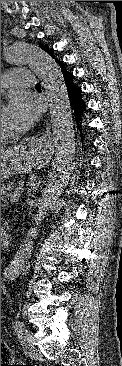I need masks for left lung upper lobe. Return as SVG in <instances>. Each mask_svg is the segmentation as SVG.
Returning <instances> with one entry per match:
<instances>
[{
    "mask_svg": "<svg viewBox=\"0 0 122 366\" xmlns=\"http://www.w3.org/2000/svg\"><path fill=\"white\" fill-rule=\"evenodd\" d=\"M40 47L45 50L47 53H49L51 56H53V51L49 50L48 48H46L45 46H43L42 44H40ZM54 57V56H53ZM57 60V59H56Z\"/></svg>",
    "mask_w": 122,
    "mask_h": 366,
    "instance_id": "1",
    "label": "left lung upper lobe"
}]
</instances>
